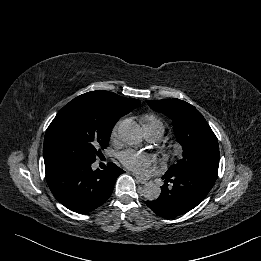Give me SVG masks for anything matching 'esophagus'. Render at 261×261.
<instances>
[{"mask_svg":"<svg viewBox=\"0 0 261 261\" xmlns=\"http://www.w3.org/2000/svg\"><path fill=\"white\" fill-rule=\"evenodd\" d=\"M137 182L141 183V184H147L149 182H151V180L149 178H145V177H141V176H135Z\"/></svg>","mask_w":261,"mask_h":261,"instance_id":"obj_1","label":"esophagus"}]
</instances>
